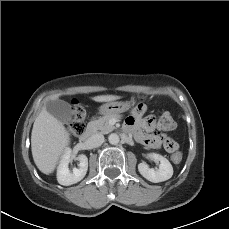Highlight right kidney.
I'll use <instances>...</instances> for the list:
<instances>
[{"instance_id":"ca27d5eb","label":"right kidney","mask_w":229,"mask_h":229,"mask_svg":"<svg viewBox=\"0 0 229 229\" xmlns=\"http://www.w3.org/2000/svg\"><path fill=\"white\" fill-rule=\"evenodd\" d=\"M79 160V168H73L71 172L69 170V163L71 162V149L67 148L60 160V164L57 168V180L59 184L69 186L81 181L88 170V158L86 155L81 154L77 157Z\"/></svg>"}]
</instances>
